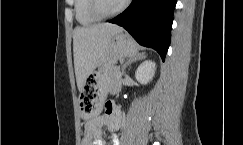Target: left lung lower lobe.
Segmentation results:
<instances>
[{
    "mask_svg": "<svg viewBox=\"0 0 243 145\" xmlns=\"http://www.w3.org/2000/svg\"><path fill=\"white\" fill-rule=\"evenodd\" d=\"M175 5L176 0H132L123 13L109 22L125 28L139 44L155 49L164 61Z\"/></svg>",
    "mask_w": 243,
    "mask_h": 145,
    "instance_id": "obj_1",
    "label": "left lung lower lobe"
}]
</instances>
